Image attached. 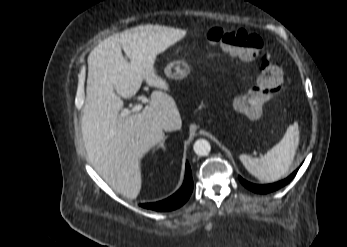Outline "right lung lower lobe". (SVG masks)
Instances as JSON below:
<instances>
[{"label": "right lung lower lobe", "mask_w": 347, "mask_h": 247, "mask_svg": "<svg viewBox=\"0 0 347 247\" xmlns=\"http://www.w3.org/2000/svg\"><path fill=\"white\" fill-rule=\"evenodd\" d=\"M193 190L191 168L186 162V174L182 187L169 198L149 204H141L142 207L156 211H171L182 206L190 197Z\"/></svg>", "instance_id": "obj_1"}]
</instances>
